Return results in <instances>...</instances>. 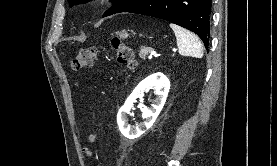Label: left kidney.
Wrapping results in <instances>:
<instances>
[{
	"label": "left kidney",
	"mask_w": 277,
	"mask_h": 166,
	"mask_svg": "<svg viewBox=\"0 0 277 166\" xmlns=\"http://www.w3.org/2000/svg\"><path fill=\"white\" fill-rule=\"evenodd\" d=\"M152 87L156 89V99L150 109L143 108L142 114L145 121L136 126L129 125L128 114L132 110L134 102L137 98H142L144 92ZM169 89V79L160 72L154 73L141 81L126 99L124 105L120 108L117 114V123L122 135L129 139H135L144 134L154 124L160 114L166 102Z\"/></svg>",
	"instance_id": "1"
}]
</instances>
